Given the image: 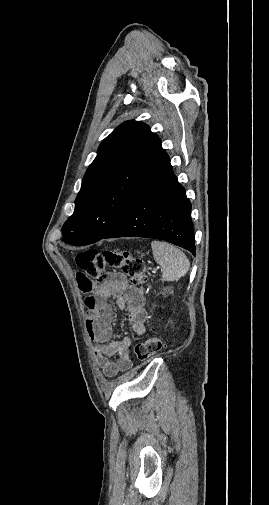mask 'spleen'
<instances>
[{
  "label": "spleen",
  "mask_w": 269,
  "mask_h": 505,
  "mask_svg": "<svg viewBox=\"0 0 269 505\" xmlns=\"http://www.w3.org/2000/svg\"><path fill=\"white\" fill-rule=\"evenodd\" d=\"M151 248L155 261L162 267V281H177L188 272L190 262L179 248L157 240L151 242Z\"/></svg>",
  "instance_id": "1"
}]
</instances>
